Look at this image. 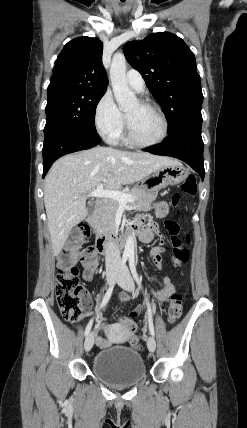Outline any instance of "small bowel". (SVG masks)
<instances>
[{"label":"small bowel","instance_id":"small-bowel-1","mask_svg":"<svg viewBox=\"0 0 247 428\" xmlns=\"http://www.w3.org/2000/svg\"><path fill=\"white\" fill-rule=\"evenodd\" d=\"M168 211H169V206L166 202H160L155 207V214L159 218L166 217L168 214ZM138 219L143 224H145V226L143 227V230L140 234V239H141V241L148 243L153 238V233L156 229V226L146 216L140 217ZM163 252H164V247L162 245L153 247L150 251V259L155 260L158 263H160L162 261ZM87 257H92L96 262V254H95V250L93 248H88V249L84 250L82 252V255H81V261H82V264L84 266L83 278L85 280H91L93 277L94 269H90L85 265V258H87ZM174 289H175V287H174L170 277L165 276L163 279V285H162L161 289H159L158 291L152 292V295L158 301L162 299V300H164V302H166L169 299L170 295L174 292ZM126 300H127L126 296L123 295L120 297V301L122 303H124ZM84 307L87 311L91 307V301H90L89 297H87V296L84 299ZM133 309H135V308H133ZM124 318H126V317H124ZM134 324H136V323L134 322ZM124 325H125V323L123 324V326ZM134 334H136V333H134ZM128 339L131 340V333H128ZM112 342H113L112 339H107V338H104L100 335L96 336V344L101 348H105V347L110 346L112 344Z\"/></svg>","mask_w":247,"mask_h":428}]
</instances>
